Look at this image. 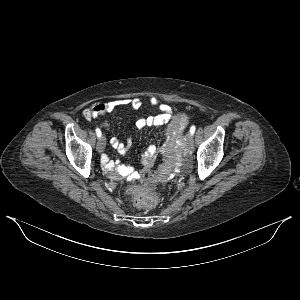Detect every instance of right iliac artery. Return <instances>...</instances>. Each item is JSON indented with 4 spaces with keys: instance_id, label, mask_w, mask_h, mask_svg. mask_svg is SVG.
<instances>
[{
    "instance_id": "right-iliac-artery-1",
    "label": "right iliac artery",
    "mask_w": 300,
    "mask_h": 300,
    "mask_svg": "<svg viewBox=\"0 0 300 300\" xmlns=\"http://www.w3.org/2000/svg\"><path fill=\"white\" fill-rule=\"evenodd\" d=\"M96 134H97V137H98V138L101 137L102 133H101V131H100L99 128H96Z\"/></svg>"
}]
</instances>
